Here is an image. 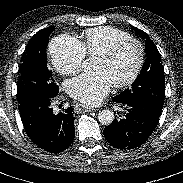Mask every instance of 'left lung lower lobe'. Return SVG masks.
Listing matches in <instances>:
<instances>
[{"mask_svg": "<svg viewBox=\"0 0 183 183\" xmlns=\"http://www.w3.org/2000/svg\"><path fill=\"white\" fill-rule=\"evenodd\" d=\"M126 107L124 117L104 128L106 140L115 148L131 150L145 143L155 130L161 112L145 104L129 100L112 99Z\"/></svg>", "mask_w": 183, "mask_h": 183, "instance_id": "1", "label": "left lung lower lobe"}]
</instances>
